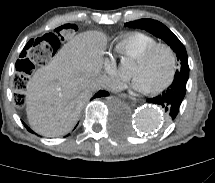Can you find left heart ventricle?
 I'll use <instances>...</instances> for the list:
<instances>
[{
    "mask_svg": "<svg viewBox=\"0 0 215 183\" xmlns=\"http://www.w3.org/2000/svg\"><path fill=\"white\" fill-rule=\"evenodd\" d=\"M171 69L172 63L169 53L166 50H159L146 61L134 60L131 75L139 77L147 90H151L169 78Z\"/></svg>",
    "mask_w": 215,
    "mask_h": 183,
    "instance_id": "1",
    "label": "left heart ventricle"
}]
</instances>
